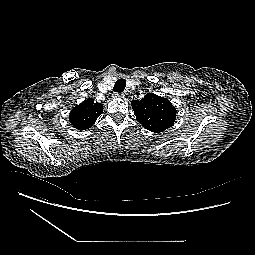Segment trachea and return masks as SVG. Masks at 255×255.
Masks as SVG:
<instances>
[{"instance_id": "obj_1", "label": "trachea", "mask_w": 255, "mask_h": 255, "mask_svg": "<svg viewBox=\"0 0 255 255\" xmlns=\"http://www.w3.org/2000/svg\"><path fill=\"white\" fill-rule=\"evenodd\" d=\"M125 87H126V80L123 78H120L116 81L113 90L114 92L122 93Z\"/></svg>"}]
</instances>
